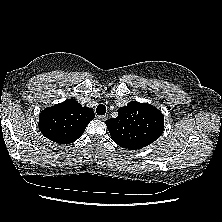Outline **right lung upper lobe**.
Segmentation results:
<instances>
[{"instance_id": "obj_1", "label": "right lung upper lobe", "mask_w": 222, "mask_h": 222, "mask_svg": "<svg viewBox=\"0 0 222 222\" xmlns=\"http://www.w3.org/2000/svg\"><path fill=\"white\" fill-rule=\"evenodd\" d=\"M94 119V111L82 107L74 99L45 108L39 116V129L49 140L69 144L83 134L88 123Z\"/></svg>"}]
</instances>
